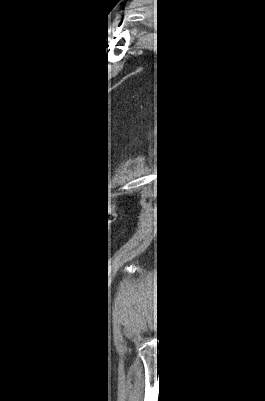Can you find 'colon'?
<instances>
[{
	"mask_svg": "<svg viewBox=\"0 0 265 401\" xmlns=\"http://www.w3.org/2000/svg\"><path fill=\"white\" fill-rule=\"evenodd\" d=\"M106 210H107V213L111 214L113 212V205L110 204L109 206H107V209H105V213H106Z\"/></svg>",
	"mask_w": 265,
	"mask_h": 401,
	"instance_id": "1",
	"label": "colon"
}]
</instances>
